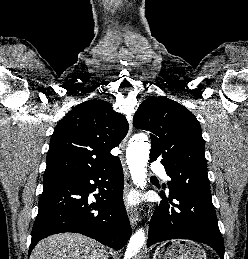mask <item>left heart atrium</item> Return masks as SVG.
<instances>
[{"mask_svg":"<svg viewBox=\"0 0 248 259\" xmlns=\"http://www.w3.org/2000/svg\"><path fill=\"white\" fill-rule=\"evenodd\" d=\"M129 200H130V202H134L135 201V196L134 195H130Z\"/></svg>","mask_w":248,"mask_h":259,"instance_id":"obj_1","label":"left heart atrium"}]
</instances>
